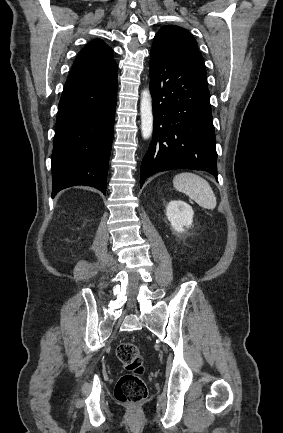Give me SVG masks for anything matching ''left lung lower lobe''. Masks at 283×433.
<instances>
[{
	"label": "left lung lower lobe",
	"mask_w": 283,
	"mask_h": 433,
	"mask_svg": "<svg viewBox=\"0 0 283 433\" xmlns=\"http://www.w3.org/2000/svg\"><path fill=\"white\" fill-rule=\"evenodd\" d=\"M154 135L140 169L152 174L195 169L217 180V152L206 75L195 65L150 51Z\"/></svg>",
	"instance_id": "left-lung-lower-lobe-1"
}]
</instances>
